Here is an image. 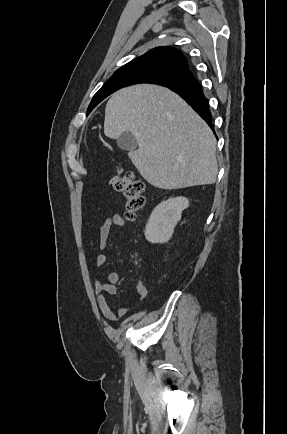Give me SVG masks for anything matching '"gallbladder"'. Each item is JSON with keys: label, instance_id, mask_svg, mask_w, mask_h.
<instances>
[{"label": "gallbladder", "instance_id": "obj_1", "mask_svg": "<svg viewBox=\"0 0 287 434\" xmlns=\"http://www.w3.org/2000/svg\"><path fill=\"white\" fill-rule=\"evenodd\" d=\"M117 145L122 150L132 152L137 147V140L131 132H124L117 139Z\"/></svg>", "mask_w": 287, "mask_h": 434}]
</instances>
